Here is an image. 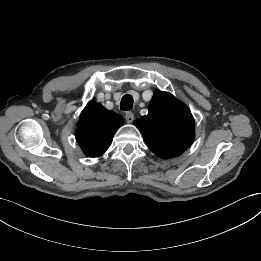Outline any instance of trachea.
<instances>
[{
    "instance_id": "1",
    "label": "trachea",
    "mask_w": 261,
    "mask_h": 261,
    "mask_svg": "<svg viewBox=\"0 0 261 261\" xmlns=\"http://www.w3.org/2000/svg\"><path fill=\"white\" fill-rule=\"evenodd\" d=\"M133 108V97L130 94H126L121 99L120 109L129 111Z\"/></svg>"
}]
</instances>
